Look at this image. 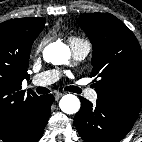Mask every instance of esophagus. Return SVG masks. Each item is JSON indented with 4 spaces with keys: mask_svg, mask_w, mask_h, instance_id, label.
Instances as JSON below:
<instances>
[{
    "mask_svg": "<svg viewBox=\"0 0 142 142\" xmlns=\"http://www.w3.org/2000/svg\"><path fill=\"white\" fill-rule=\"evenodd\" d=\"M62 96H63V93L57 92L54 97H55V100L58 101Z\"/></svg>",
    "mask_w": 142,
    "mask_h": 142,
    "instance_id": "1",
    "label": "esophagus"
}]
</instances>
